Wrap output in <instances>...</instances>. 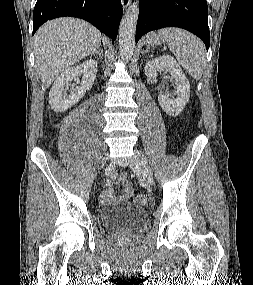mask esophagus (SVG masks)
I'll list each match as a JSON object with an SVG mask.
<instances>
[{"instance_id":"obj_1","label":"esophagus","mask_w":253,"mask_h":285,"mask_svg":"<svg viewBox=\"0 0 253 285\" xmlns=\"http://www.w3.org/2000/svg\"><path fill=\"white\" fill-rule=\"evenodd\" d=\"M121 1L124 9H126L131 3V0H121Z\"/></svg>"}]
</instances>
